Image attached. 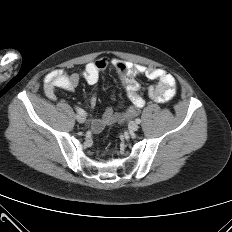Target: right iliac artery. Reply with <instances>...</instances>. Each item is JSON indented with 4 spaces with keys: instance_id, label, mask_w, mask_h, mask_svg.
<instances>
[{
    "instance_id": "1",
    "label": "right iliac artery",
    "mask_w": 232,
    "mask_h": 232,
    "mask_svg": "<svg viewBox=\"0 0 232 232\" xmlns=\"http://www.w3.org/2000/svg\"><path fill=\"white\" fill-rule=\"evenodd\" d=\"M75 109H76V111H77L78 114H82L84 116L86 115V112L83 109H81L79 107H76Z\"/></svg>"
}]
</instances>
